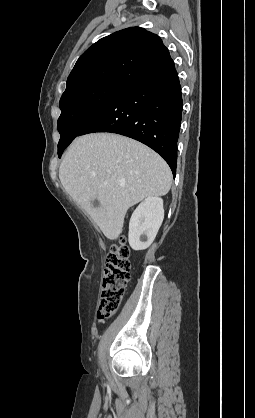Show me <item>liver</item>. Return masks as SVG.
<instances>
[{
  "label": "liver",
  "mask_w": 255,
  "mask_h": 418,
  "mask_svg": "<svg viewBox=\"0 0 255 418\" xmlns=\"http://www.w3.org/2000/svg\"><path fill=\"white\" fill-rule=\"evenodd\" d=\"M65 191L115 240L127 210L147 197L164 196L172 173L152 149L128 137L93 133L73 141L59 168ZM97 199L99 206L94 207Z\"/></svg>",
  "instance_id": "1"
}]
</instances>
